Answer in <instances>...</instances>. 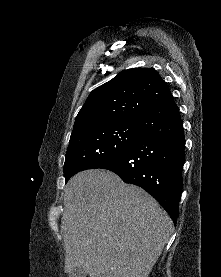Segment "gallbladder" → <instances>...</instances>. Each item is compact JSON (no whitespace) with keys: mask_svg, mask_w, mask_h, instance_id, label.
Masks as SVG:
<instances>
[{"mask_svg":"<svg viewBox=\"0 0 221 277\" xmlns=\"http://www.w3.org/2000/svg\"><path fill=\"white\" fill-rule=\"evenodd\" d=\"M69 277H87V272L81 267H75L69 273Z\"/></svg>","mask_w":221,"mask_h":277,"instance_id":"1","label":"gallbladder"}]
</instances>
